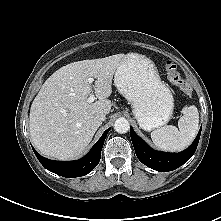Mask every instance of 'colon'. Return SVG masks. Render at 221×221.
<instances>
[{
	"label": "colon",
	"instance_id": "colon-1",
	"mask_svg": "<svg viewBox=\"0 0 221 221\" xmlns=\"http://www.w3.org/2000/svg\"><path fill=\"white\" fill-rule=\"evenodd\" d=\"M165 73L167 79L170 81L171 84H173L180 92H182L185 95H190L191 88L187 84V82L181 77L177 66L171 62L168 61L165 64Z\"/></svg>",
	"mask_w": 221,
	"mask_h": 221
}]
</instances>
